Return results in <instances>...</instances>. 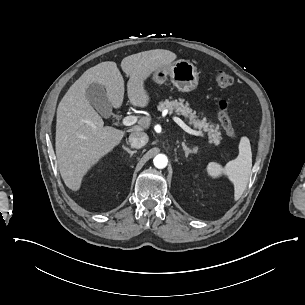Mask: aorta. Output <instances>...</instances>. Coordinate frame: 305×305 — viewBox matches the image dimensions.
I'll return each mask as SVG.
<instances>
[{"mask_svg":"<svg viewBox=\"0 0 305 305\" xmlns=\"http://www.w3.org/2000/svg\"><path fill=\"white\" fill-rule=\"evenodd\" d=\"M154 166L158 169H163L168 164V158L164 154H158L153 159Z\"/></svg>","mask_w":305,"mask_h":305,"instance_id":"aorta-1","label":"aorta"}]
</instances>
